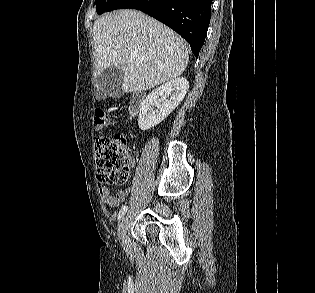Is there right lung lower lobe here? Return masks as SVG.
Listing matches in <instances>:
<instances>
[{
    "instance_id": "obj_1",
    "label": "right lung lower lobe",
    "mask_w": 315,
    "mask_h": 293,
    "mask_svg": "<svg viewBox=\"0 0 315 293\" xmlns=\"http://www.w3.org/2000/svg\"><path fill=\"white\" fill-rule=\"evenodd\" d=\"M212 0H116L107 11L131 8L163 22L191 46L198 57L211 17Z\"/></svg>"
}]
</instances>
